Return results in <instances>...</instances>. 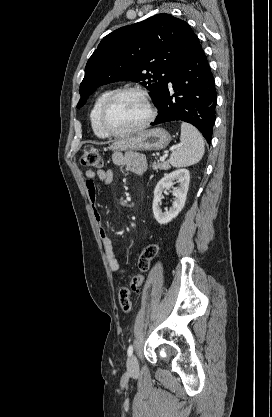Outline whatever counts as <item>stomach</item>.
Instances as JSON below:
<instances>
[{
	"mask_svg": "<svg viewBox=\"0 0 272 417\" xmlns=\"http://www.w3.org/2000/svg\"><path fill=\"white\" fill-rule=\"evenodd\" d=\"M171 136L163 128L142 131L128 139L120 140L110 146L112 150L157 151L166 148Z\"/></svg>",
	"mask_w": 272,
	"mask_h": 417,
	"instance_id": "1",
	"label": "stomach"
}]
</instances>
